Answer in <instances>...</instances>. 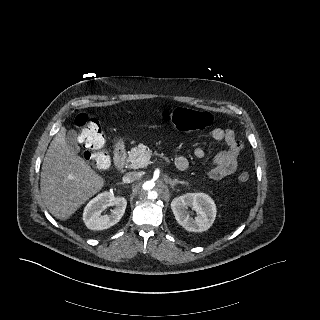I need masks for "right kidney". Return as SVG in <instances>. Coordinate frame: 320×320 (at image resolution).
I'll use <instances>...</instances> for the list:
<instances>
[{
	"mask_svg": "<svg viewBox=\"0 0 320 320\" xmlns=\"http://www.w3.org/2000/svg\"><path fill=\"white\" fill-rule=\"evenodd\" d=\"M127 201L124 197H114L110 192L98 194L89 201L83 212V220L88 229L104 230L115 225L124 215ZM109 206L115 208L109 215L102 212Z\"/></svg>",
	"mask_w": 320,
	"mask_h": 320,
	"instance_id": "ca27d5eb",
	"label": "right kidney"
}]
</instances>
